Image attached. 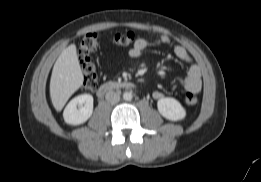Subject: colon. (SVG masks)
Returning a JSON list of instances; mask_svg holds the SVG:
<instances>
[{
  "mask_svg": "<svg viewBox=\"0 0 261 182\" xmlns=\"http://www.w3.org/2000/svg\"><path fill=\"white\" fill-rule=\"evenodd\" d=\"M135 38L136 36L133 32L120 33L114 36V42L119 46L127 47L135 42ZM98 47V35L90 32L83 36L78 48V60L84 74V88L89 91L94 90L98 85L97 68L91 57ZM185 102L188 105L197 104V95L193 92H188L185 95Z\"/></svg>",
  "mask_w": 261,
  "mask_h": 182,
  "instance_id": "1",
  "label": "colon"
}]
</instances>
